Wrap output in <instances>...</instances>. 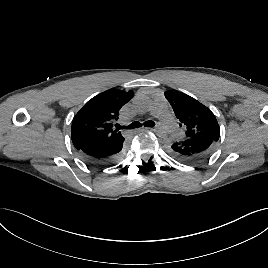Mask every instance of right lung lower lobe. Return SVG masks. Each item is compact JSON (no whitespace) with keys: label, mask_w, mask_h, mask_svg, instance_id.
Instances as JSON below:
<instances>
[{"label":"right lung lower lobe","mask_w":268,"mask_h":268,"mask_svg":"<svg viewBox=\"0 0 268 268\" xmlns=\"http://www.w3.org/2000/svg\"><path fill=\"white\" fill-rule=\"evenodd\" d=\"M124 138L109 144L86 145L77 150L88 162L96 165L114 163L121 155Z\"/></svg>","instance_id":"98d812e1"}]
</instances>
